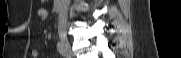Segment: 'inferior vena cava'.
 I'll list each match as a JSON object with an SVG mask.
<instances>
[{
	"instance_id": "1",
	"label": "inferior vena cava",
	"mask_w": 181,
	"mask_h": 58,
	"mask_svg": "<svg viewBox=\"0 0 181 58\" xmlns=\"http://www.w3.org/2000/svg\"><path fill=\"white\" fill-rule=\"evenodd\" d=\"M69 2H70V0H62L63 10H62V13L60 15V20H59V31L60 32H63L65 30Z\"/></svg>"
}]
</instances>
